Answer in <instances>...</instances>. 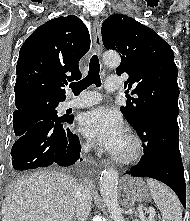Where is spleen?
<instances>
[{"mask_svg": "<svg viewBox=\"0 0 190 221\" xmlns=\"http://www.w3.org/2000/svg\"><path fill=\"white\" fill-rule=\"evenodd\" d=\"M147 185L162 214V221H182L181 204L176 194L157 180L147 179Z\"/></svg>", "mask_w": 190, "mask_h": 221, "instance_id": "3e777b00", "label": "spleen"}]
</instances>
